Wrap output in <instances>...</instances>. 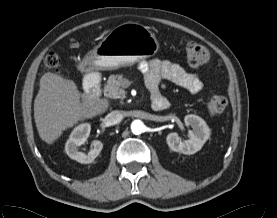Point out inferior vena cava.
<instances>
[{"mask_svg":"<svg viewBox=\"0 0 277 218\" xmlns=\"http://www.w3.org/2000/svg\"><path fill=\"white\" fill-rule=\"evenodd\" d=\"M122 119H123L122 112L118 110H114L105 117V123L108 125H115L121 122Z\"/></svg>","mask_w":277,"mask_h":218,"instance_id":"obj_1","label":"inferior vena cava"}]
</instances>
